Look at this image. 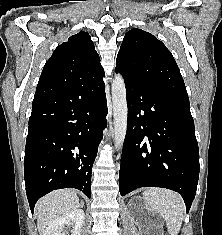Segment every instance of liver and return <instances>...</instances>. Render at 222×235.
Masks as SVG:
<instances>
[{"label": "liver", "instance_id": "6515ba94", "mask_svg": "<svg viewBox=\"0 0 222 235\" xmlns=\"http://www.w3.org/2000/svg\"><path fill=\"white\" fill-rule=\"evenodd\" d=\"M79 206L75 191L65 189L54 191L36 204L37 228L40 235H46L47 228L59 217L74 211Z\"/></svg>", "mask_w": 222, "mask_h": 235}]
</instances>
